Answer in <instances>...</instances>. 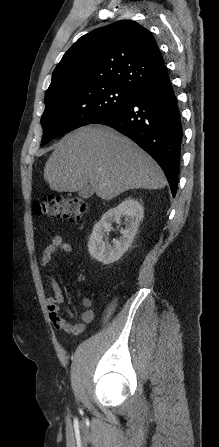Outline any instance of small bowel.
<instances>
[{"mask_svg": "<svg viewBox=\"0 0 219 447\" xmlns=\"http://www.w3.org/2000/svg\"><path fill=\"white\" fill-rule=\"evenodd\" d=\"M71 251L72 245L69 242L58 235L54 236L50 244L44 248L40 264L42 266L48 265L57 252L69 253ZM49 283L52 287L53 294L47 297L46 304L48 315L54 328L73 334L81 333L84 330L85 324L91 323L94 319V311L90 308L92 304L91 298L85 297L82 300V305L85 309L81 313V322L72 323L69 318L73 314L70 311L62 314L60 311V306L65 303L66 298L53 275H49Z\"/></svg>", "mask_w": 219, "mask_h": 447, "instance_id": "1", "label": "small bowel"}]
</instances>
